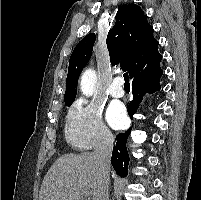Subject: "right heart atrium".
I'll return each mask as SVG.
<instances>
[{
	"mask_svg": "<svg viewBox=\"0 0 201 200\" xmlns=\"http://www.w3.org/2000/svg\"><path fill=\"white\" fill-rule=\"evenodd\" d=\"M65 133L67 141L80 149L108 147L114 140L103 121L101 108L85 99L76 100L70 107Z\"/></svg>",
	"mask_w": 201,
	"mask_h": 200,
	"instance_id": "1",
	"label": "right heart atrium"
}]
</instances>
